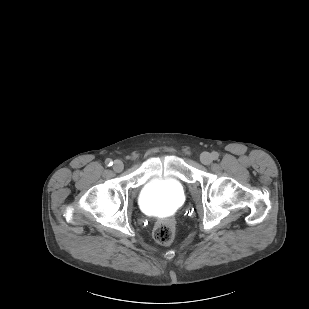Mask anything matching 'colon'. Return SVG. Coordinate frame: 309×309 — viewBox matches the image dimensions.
<instances>
[{"label": "colon", "instance_id": "colon-1", "mask_svg": "<svg viewBox=\"0 0 309 309\" xmlns=\"http://www.w3.org/2000/svg\"><path fill=\"white\" fill-rule=\"evenodd\" d=\"M176 232L175 221L170 218L159 221L153 230V237L159 244L167 245L170 244Z\"/></svg>", "mask_w": 309, "mask_h": 309}]
</instances>
